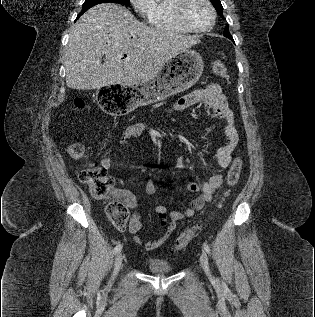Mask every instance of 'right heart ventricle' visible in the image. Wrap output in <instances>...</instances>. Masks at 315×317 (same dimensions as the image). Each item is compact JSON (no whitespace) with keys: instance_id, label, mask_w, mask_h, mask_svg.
Returning a JSON list of instances; mask_svg holds the SVG:
<instances>
[{"instance_id":"1","label":"right heart ventricle","mask_w":315,"mask_h":317,"mask_svg":"<svg viewBox=\"0 0 315 317\" xmlns=\"http://www.w3.org/2000/svg\"><path fill=\"white\" fill-rule=\"evenodd\" d=\"M175 4L176 0H152L146 15L149 25L161 30L187 32L175 17Z\"/></svg>"}]
</instances>
